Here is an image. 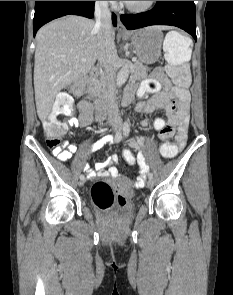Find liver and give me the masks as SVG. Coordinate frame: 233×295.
I'll list each match as a JSON object with an SVG mask.
<instances>
[{
    "instance_id": "6515ba94",
    "label": "liver",
    "mask_w": 233,
    "mask_h": 295,
    "mask_svg": "<svg viewBox=\"0 0 233 295\" xmlns=\"http://www.w3.org/2000/svg\"><path fill=\"white\" fill-rule=\"evenodd\" d=\"M111 36L114 40L112 28ZM98 41L95 22L82 16H65L39 29L36 34L34 90L41 121L49 115L57 94L86 76L94 67L99 59ZM83 58L86 61H82Z\"/></svg>"
}]
</instances>
